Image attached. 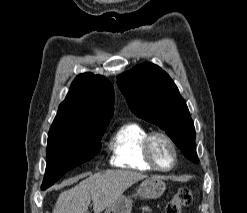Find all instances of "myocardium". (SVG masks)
I'll return each mask as SVG.
<instances>
[{
	"instance_id": "obj_1",
	"label": "myocardium",
	"mask_w": 247,
	"mask_h": 213,
	"mask_svg": "<svg viewBox=\"0 0 247 213\" xmlns=\"http://www.w3.org/2000/svg\"><path fill=\"white\" fill-rule=\"evenodd\" d=\"M157 138H161L166 141L173 153L172 164L169 167H162L156 160L153 153V143ZM143 153L147 162L157 171L168 172L171 171L178 162V150L174 140L166 133L161 131H154L147 135L143 143Z\"/></svg>"
}]
</instances>
